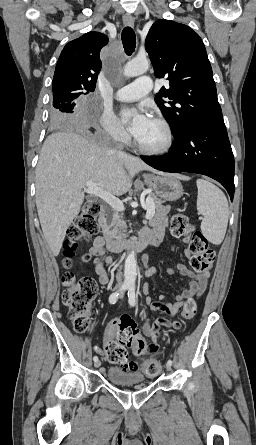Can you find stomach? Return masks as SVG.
Wrapping results in <instances>:
<instances>
[{
    "label": "stomach",
    "instance_id": "obj_1",
    "mask_svg": "<svg viewBox=\"0 0 256 445\" xmlns=\"http://www.w3.org/2000/svg\"><path fill=\"white\" fill-rule=\"evenodd\" d=\"M145 183L156 196L166 201H176L183 195L182 184L173 175H147Z\"/></svg>",
    "mask_w": 256,
    "mask_h": 445
}]
</instances>
